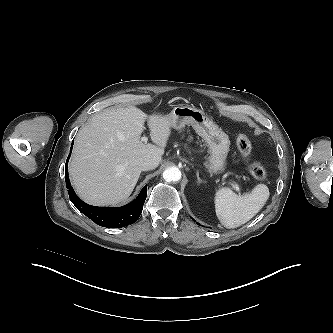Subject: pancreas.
<instances>
[{
  "instance_id": "obj_1",
  "label": "pancreas",
  "mask_w": 333,
  "mask_h": 333,
  "mask_svg": "<svg viewBox=\"0 0 333 333\" xmlns=\"http://www.w3.org/2000/svg\"><path fill=\"white\" fill-rule=\"evenodd\" d=\"M192 137L190 136L189 140L188 141H191Z\"/></svg>"
}]
</instances>
